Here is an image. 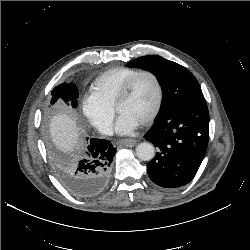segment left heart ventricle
<instances>
[{"label": "left heart ventricle", "mask_w": 250, "mask_h": 250, "mask_svg": "<svg viewBox=\"0 0 250 250\" xmlns=\"http://www.w3.org/2000/svg\"><path fill=\"white\" fill-rule=\"evenodd\" d=\"M157 91L154 80L143 75L138 78L127 100L122 103L118 112L141 124L154 110Z\"/></svg>", "instance_id": "1"}]
</instances>
